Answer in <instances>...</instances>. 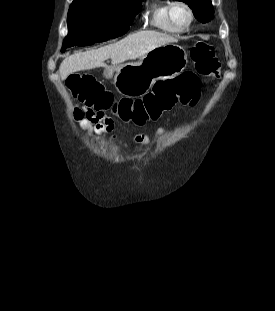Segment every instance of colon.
Listing matches in <instances>:
<instances>
[{"instance_id": "5ec220e1", "label": "colon", "mask_w": 275, "mask_h": 311, "mask_svg": "<svg viewBox=\"0 0 275 311\" xmlns=\"http://www.w3.org/2000/svg\"><path fill=\"white\" fill-rule=\"evenodd\" d=\"M191 58L199 75L208 77L218 74L220 62L213 46L198 42L191 49ZM66 83L79 103L97 112L111 109L121 119L137 124L138 129H147L148 121H159L163 112L177 104L195 105L200 89L197 74L191 72L157 82L151 92L136 100L115 99L103 84L88 74H72Z\"/></svg>"}]
</instances>
